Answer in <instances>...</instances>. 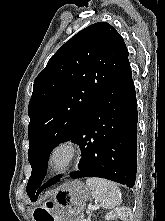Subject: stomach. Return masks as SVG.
<instances>
[{
    "label": "stomach",
    "instance_id": "obj_1",
    "mask_svg": "<svg viewBox=\"0 0 165 221\" xmlns=\"http://www.w3.org/2000/svg\"><path fill=\"white\" fill-rule=\"evenodd\" d=\"M91 196L88 185L79 180L68 182L59 188L53 200H42L32 216L50 217L36 218V221H79L78 217Z\"/></svg>",
    "mask_w": 165,
    "mask_h": 221
}]
</instances>
